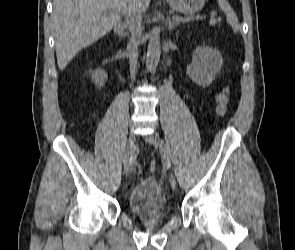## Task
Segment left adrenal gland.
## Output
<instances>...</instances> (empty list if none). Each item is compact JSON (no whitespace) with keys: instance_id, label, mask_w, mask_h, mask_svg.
<instances>
[{"instance_id":"1","label":"left adrenal gland","mask_w":295,"mask_h":250,"mask_svg":"<svg viewBox=\"0 0 295 250\" xmlns=\"http://www.w3.org/2000/svg\"><path fill=\"white\" fill-rule=\"evenodd\" d=\"M166 24H167L168 30L171 31L179 25V22L173 21L170 17H168Z\"/></svg>"}]
</instances>
